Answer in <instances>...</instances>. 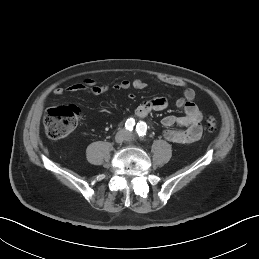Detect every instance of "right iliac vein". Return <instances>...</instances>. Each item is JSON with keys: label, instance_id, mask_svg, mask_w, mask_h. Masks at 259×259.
I'll return each mask as SVG.
<instances>
[{"label": "right iliac vein", "instance_id": "63e3f726", "mask_svg": "<svg viewBox=\"0 0 259 259\" xmlns=\"http://www.w3.org/2000/svg\"><path fill=\"white\" fill-rule=\"evenodd\" d=\"M126 137H127V135H126L125 131H120L116 134L115 141H116V143H122L123 141L126 140Z\"/></svg>", "mask_w": 259, "mask_h": 259}]
</instances>
